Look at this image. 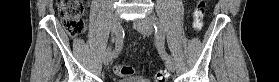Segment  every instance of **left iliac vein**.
<instances>
[{
  "label": "left iliac vein",
  "mask_w": 279,
  "mask_h": 82,
  "mask_svg": "<svg viewBox=\"0 0 279 82\" xmlns=\"http://www.w3.org/2000/svg\"><path fill=\"white\" fill-rule=\"evenodd\" d=\"M134 28L144 36H149L153 32V26L148 21V18H141L133 22ZM165 66L170 72L175 71V64L173 60H166Z\"/></svg>",
  "instance_id": "left-iliac-vein-1"
}]
</instances>
